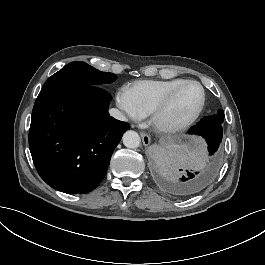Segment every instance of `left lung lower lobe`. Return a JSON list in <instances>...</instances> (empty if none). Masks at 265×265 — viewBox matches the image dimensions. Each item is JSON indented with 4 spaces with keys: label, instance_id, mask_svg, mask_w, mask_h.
Here are the masks:
<instances>
[{
    "label": "left lung lower lobe",
    "instance_id": "0a47b994",
    "mask_svg": "<svg viewBox=\"0 0 265 265\" xmlns=\"http://www.w3.org/2000/svg\"><path fill=\"white\" fill-rule=\"evenodd\" d=\"M223 121L224 112L220 109L217 114L201 119L188 131L189 134L203 137L208 145L199 159L201 171L187 172L178 179L174 174L180 163L179 156L172 158L170 153H164L158 157L154 176L161 188L175 196L188 197L200 192L211 182L220 164Z\"/></svg>",
    "mask_w": 265,
    "mask_h": 265
}]
</instances>
